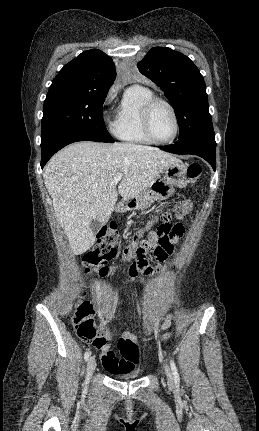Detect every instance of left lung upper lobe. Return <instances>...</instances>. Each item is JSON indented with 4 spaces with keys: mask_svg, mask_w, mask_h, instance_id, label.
Here are the masks:
<instances>
[{
    "mask_svg": "<svg viewBox=\"0 0 259 431\" xmlns=\"http://www.w3.org/2000/svg\"><path fill=\"white\" fill-rule=\"evenodd\" d=\"M173 105L179 123V143L215 142L203 76L187 56L166 47H154L137 64Z\"/></svg>",
    "mask_w": 259,
    "mask_h": 431,
    "instance_id": "left-lung-upper-lobe-1",
    "label": "left lung upper lobe"
}]
</instances>
